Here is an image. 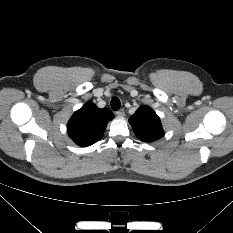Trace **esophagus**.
<instances>
[{
  "label": "esophagus",
  "instance_id": "obj_1",
  "mask_svg": "<svg viewBox=\"0 0 233 233\" xmlns=\"http://www.w3.org/2000/svg\"><path fill=\"white\" fill-rule=\"evenodd\" d=\"M116 115H117L118 117H123V116L125 115L124 109H121V110L117 111V112H116Z\"/></svg>",
  "mask_w": 233,
  "mask_h": 233
}]
</instances>
